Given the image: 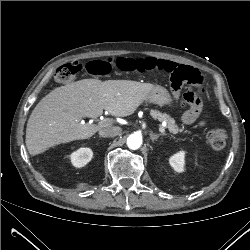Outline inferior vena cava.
Returning a JSON list of instances; mask_svg holds the SVG:
<instances>
[{"label":"inferior vena cava","mask_w":250,"mask_h":250,"mask_svg":"<svg viewBox=\"0 0 250 250\" xmlns=\"http://www.w3.org/2000/svg\"><path fill=\"white\" fill-rule=\"evenodd\" d=\"M121 133V129L119 127H105L99 131V135L101 137H114Z\"/></svg>","instance_id":"1"}]
</instances>
